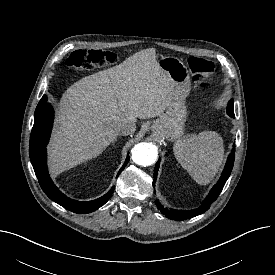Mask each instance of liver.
<instances>
[{"mask_svg": "<svg viewBox=\"0 0 275 275\" xmlns=\"http://www.w3.org/2000/svg\"><path fill=\"white\" fill-rule=\"evenodd\" d=\"M172 99L171 81L156 60L155 48L77 81L59 102L48 146L51 169L97 157L119 135V122L159 116Z\"/></svg>", "mask_w": 275, "mask_h": 275, "instance_id": "liver-1", "label": "liver"}]
</instances>
